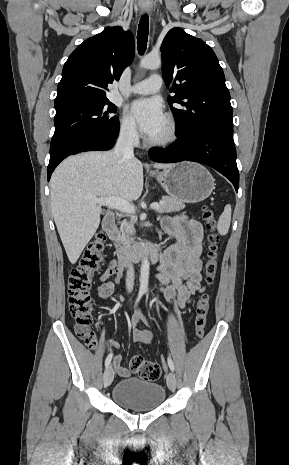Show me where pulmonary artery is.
I'll return each mask as SVG.
<instances>
[{
  "mask_svg": "<svg viewBox=\"0 0 289 465\" xmlns=\"http://www.w3.org/2000/svg\"><path fill=\"white\" fill-rule=\"evenodd\" d=\"M162 85V77L158 74H153L133 85L130 89V93L140 95L151 94L159 91L162 88Z\"/></svg>",
  "mask_w": 289,
  "mask_h": 465,
  "instance_id": "pulmonary-artery-1",
  "label": "pulmonary artery"
}]
</instances>
